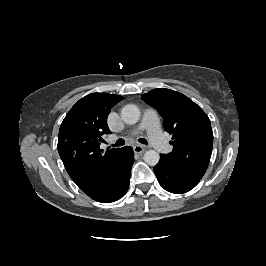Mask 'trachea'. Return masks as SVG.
<instances>
[{
    "instance_id": "obj_1",
    "label": "trachea",
    "mask_w": 266,
    "mask_h": 266,
    "mask_svg": "<svg viewBox=\"0 0 266 266\" xmlns=\"http://www.w3.org/2000/svg\"><path fill=\"white\" fill-rule=\"evenodd\" d=\"M138 141L142 144H146V145L148 144L145 138H140L138 139ZM124 144H125L124 139H118L115 144H112V147H120V146H123Z\"/></svg>"
}]
</instances>
